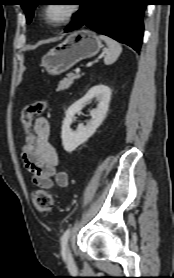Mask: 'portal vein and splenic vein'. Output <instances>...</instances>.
<instances>
[{"instance_id":"portal-vein-and-splenic-vein-1","label":"portal vein and splenic vein","mask_w":174,"mask_h":278,"mask_svg":"<svg viewBox=\"0 0 174 278\" xmlns=\"http://www.w3.org/2000/svg\"><path fill=\"white\" fill-rule=\"evenodd\" d=\"M75 72H76V73H79V72H80V68H77V69L75 70Z\"/></svg>"}]
</instances>
